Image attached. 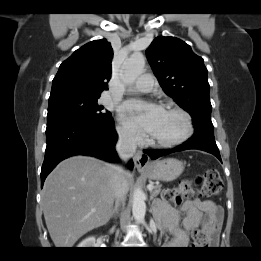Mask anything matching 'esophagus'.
<instances>
[{
  "mask_svg": "<svg viewBox=\"0 0 261 261\" xmlns=\"http://www.w3.org/2000/svg\"><path fill=\"white\" fill-rule=\"evenodd\" d=\"M134 164L138 170H144L149 167L150 159L149 156L138 150L134 155Z\"/></svg>",
  "mask_w": 261,
  "mask_h": 261,
  "instance_id": "esophagus-1",
  "label": "esophagus"
}]
</instances>
